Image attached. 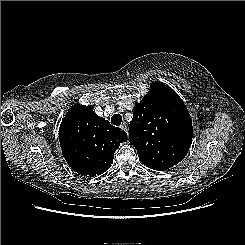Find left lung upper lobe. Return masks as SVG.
Listing matches in <instances>:
<instances>
[{"label":"left lung upper lobe","mask_w":245,"mask_h":245,"mask_svg":"<svg viewBox=\"0 0 245 245\" xmlns=\"http://www.w3.org/2000/svg\"><path fill=\"white\" fill-rule=\"evenodd\" d=\"M129 141L143 164L167 170L188 153L193 127L182 99L168 85L152 82L148 94L135 103Z\"/></svg>","instance_id":"1"}]
</instances>
